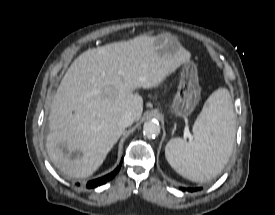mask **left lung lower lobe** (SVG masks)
I'll return each instance as SVG.
<instances>
[{"mask_svg":"<svg viewBox=\"0 0 275 215\" xmlns=\"http://www.w3.org/2000/svg\"><path fill=\"white\" fill-rule=\"evenodd\" d=\"M182 190H183V191L187 190V191H189V192H193V191L201 190V188H194V189H192V188H187V189L182 188Z\"/></svg>","mask_w":275,"mask_h":215,"instance_id":"left-lung-lower-lobe-1","label":"left lung lower lobe"}]
</instances>
